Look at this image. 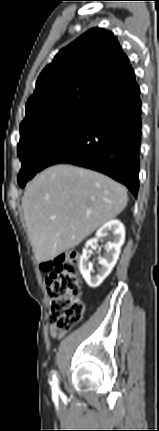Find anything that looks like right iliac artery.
Masks as SVG:
<instances>
[{"label": "right iliac artery", "mask_w": 159, "mask_h": 431, "mask_svg": "<svg viewBox=\"0 0 159 431\" xmlns=\"http://www.w3.org/2000/svg\"><path fill=\"white\" fill-rule=\"evenodd\" d=\"M52 389H53V392L58 391L57 378L55 375L53 376V387H52Z\"/></svg>", "instance_id": "obj_1"}]
</instances>
